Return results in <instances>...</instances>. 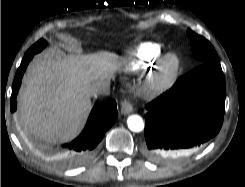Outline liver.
<instances>
[{
  "mask_svg": "<svg viewBox=\"0 0 245 187\" xmlns=\"http://www.w3.org/2000/svg\"><path fill=\"white\" fill-rule=\"evenodd\" d=\"M121 62L114 53L68 55L35 59L23 79L16 118L24 132L45 141L74 137L92 107L91 88L109 81Z\"/></svg>",
  "mask_w": 245,
  "mask_h": 187,
  "instance_id": "liver-1",
  "label": "liver"
}]
</instances>
